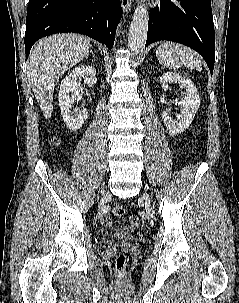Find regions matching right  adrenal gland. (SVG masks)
Returning a JSON list of instances; mask_svg holds the SVG:
<instances>
[{"label": "right adrenal gland", "instance_id": "right-adrenal-gland-1", "mask_svg": "<svg viewBox=\"0 0 239 303\" xmlns=\"http://www.w3.org/2000/svg\"><path fill=\"white\" fill-rule=\"evenodd\" d=\"M90 54L94 55V52L92 51V47L90 48ZM88 59V56L86 57Z\"/></svg>", "mask_w": 239, "mask_h": 303}]
</instances>
